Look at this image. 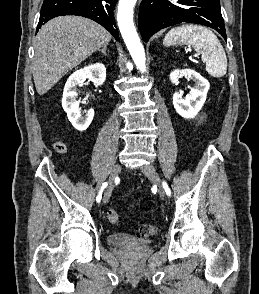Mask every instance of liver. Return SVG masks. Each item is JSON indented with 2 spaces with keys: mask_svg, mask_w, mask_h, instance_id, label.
<instances>
[{
  "mask_svg": "<svg viewBox=\"0 0 259 294\" xmlns=\"http://www.w3.org/2000/svg\"><path fill=\"white\" fill-rule=\"evenodd\" d=\"M110 40L111 34L90 19L61 16L50 20L36 36L33 79L37 93H47L69 70Z\"/></svg>",
  "mask_w": 259,
  "mask_h": 294,
  "instance_id": "1",
  "label": "liver"
}]
</instances>
